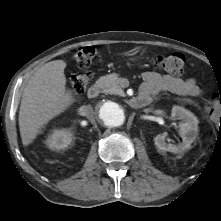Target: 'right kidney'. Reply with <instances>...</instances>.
<instances>
[{"label": "right kidney", "mask_w": 221, "mask_h": 221, "mask_svg": "<svg viewBox=\"0 0 221 221\" xmlns=\"http://www.w3.org/2000/svg\"><path fill=\"white\" fill-rule=\"evenodd\" d=\"M72 141V134L66 129L54 130L46 140V145L49 149H64Z\"/></svg>", "instance_id": "ca27d5eb"}]
</instances>
